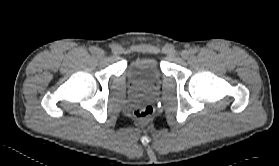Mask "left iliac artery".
<instances>
[{
    "label": "left iliac artery",
    "instance_id": "1",
    "mask_svg": "<svg viewBox=\"0 0 279 166\" xmlns=\"http://www.w3.org/2000/svg\"><path fill=\"white\" fill-rule=\"evenodd\" d=\"M190 52L191 54H195L197 52V49H191Z\"/></svg>",
    "mask_w": 279,
    "mask_h": 166
}]
</instances>
